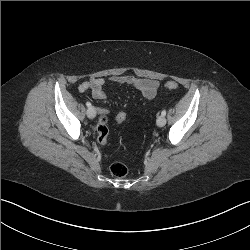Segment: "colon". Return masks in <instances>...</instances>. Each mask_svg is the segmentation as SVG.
Segmentation results:
<instances>
[{"label": "colon", "mask_w": 250, "mask_h": 250, "mask_svg": "<svg viewBox=\"0 0 250 250\" xmlns=\"http://www.w3.org/2000/svg\"><path fill=\"white\" fill-rule=\"evenodd\" d=\"M164 87L168 90H176L178 88V84L173 81L166 82ZM127 120V113L123 110L117 111L116 116V126L118 127L124 121ZM108 126H107V117L102 115L97 124V134H98V143L100 146L105 147L108 145ZM110 172L116 178H123L126 176L128 169L124 163L115 162L110 166Z\"/></svg>", "instance_id": "1"}]
</instances>
